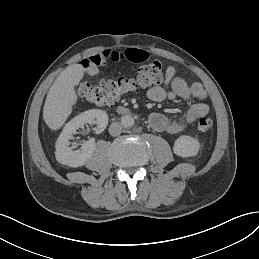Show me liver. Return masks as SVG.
<instances>
[{"mask_svg": "<svg viewBox=\"0 0 259 259\" xmlns=\"http://www.w3.org/2000/svg\"><path fill=\"white\" fill-rule=\"evenodd\" d=\"M83 76L82 65H69L51 86L43 108V118L50 129L61 128L71 114L72 105L77 100L74 87L79 84Z\"/></svg>", "mask_w": 259, "mask_h": 259, "instance_id": "liver-1", "label": "liver"}]
</instances>
